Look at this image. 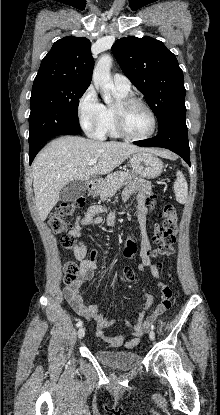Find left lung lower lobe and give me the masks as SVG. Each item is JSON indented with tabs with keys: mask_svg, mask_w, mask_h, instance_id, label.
Masks as SVG:
<instances>
[{
	"mask_svg": "<svg viewBox=\"0 0 220 415\" xmlns=\"http://www.w3.org/2000/svg\"><path fill=\"white\" fill-rule=\"evenodd\" d=\"M186 115H179L171 119L154 138L136 141L134 144L143 147H162L169 149L181 156L190 164V148L188 142V130Z\"/></svg>",
	"mask_w": 220,
	"mask_h": 415,
	"instance_id": "left-lung-lower-lobe-1",
	"label": "left lung lower lobe"
}]
</instances>
